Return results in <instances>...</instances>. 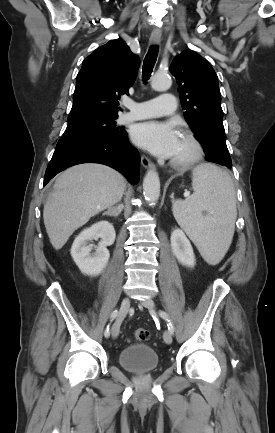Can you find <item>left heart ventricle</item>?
Wrapping results in <instances>:
<instances>
[{
    "instance_id": "obj_1",
    "label": "left heart ventricle",
    "mask_w": 275,
    "mask_h": 433,
    "mask_svg": "<svg viewBox=\"0 0 275 433\" xmlns=\"http://www.w3.org/2000/svg\"><path fill=\"white\" fill-rule=\"evenodd\" d=\"M191 152H192V148L189 142L183 136H179L177 149L172 159H176V160L185 159L191 154Z\"/></svg>"
}]
</instances>
